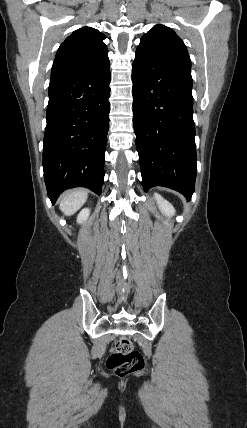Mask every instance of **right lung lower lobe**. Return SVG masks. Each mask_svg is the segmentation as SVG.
Returning a JSON list of instances; mask_svg holds the SVG:
<instances>
[{
  "label": "right lung lower lobe",
  "instance_id": "98d812e1",
  "mask_svg": "<svg viewBox=\"0 0 247 428\" xmlns=\"http://www.w3.org/2000/svg\"><path fill=\"white\" fill-rule=\"evenodd\" d=\"M110 79L107 56L86 70L50 80L43 169L52 204L68 188L101 194Z\"/></svg>",
  "mask_w": 247,
  "mask_h": 428
}]
</instances>
